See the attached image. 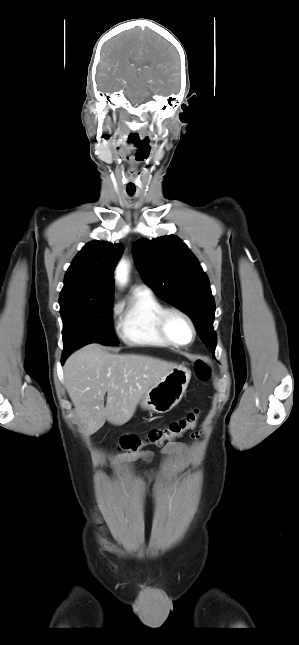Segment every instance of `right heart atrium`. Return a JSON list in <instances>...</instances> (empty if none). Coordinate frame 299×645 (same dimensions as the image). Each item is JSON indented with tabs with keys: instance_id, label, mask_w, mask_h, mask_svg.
Returning <instances> with one entry per match:
<instances>
[{
	"instance_id": "d8ad5b80",
	"label": "right heart atrium",
	"mask_w": 299,
	"mask_h": 645,
	"mask_svg": "<svg viewBox=\"0 0 299 645\" xmlns=\"http://www.w3.org/2000/svg\"><path fill=\"white\" fill-rule=\"evenodd\" d=\"M113 309H114V310H117V306L115 305V306L113 307Z\"/></svg>"
}]
</instances>
